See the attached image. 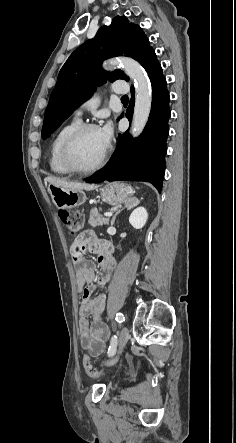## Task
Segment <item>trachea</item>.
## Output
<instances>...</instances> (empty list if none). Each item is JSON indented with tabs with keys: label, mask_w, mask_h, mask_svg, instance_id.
<instances>
[{
	"label": "trachea",
	"mask_w": 236,
	"mask_h": 443,
	"mask_svg": "<svg viewBox=\"0 0 236 443\" xmlns=\"http://www.w3.org/2000/svg\"><path fill=\"white\" fill-rule=\"evenodd\" d=\"M121 100L128 101V96L127 95L122 96Z\"/></svg>",
	"instance_id": "trachea-1"
}]
</instances>
